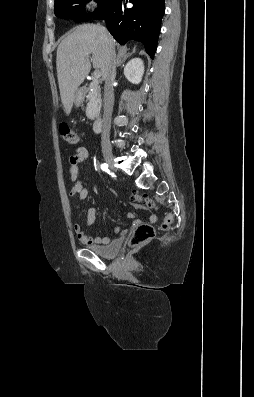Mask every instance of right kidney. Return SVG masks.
Segmentation results:
<instances>
[{
  "mask_svg": "<svg viewBox=\"0 0 254 397\" xmlns=\"http://www.w3.org/2000/svg\"><path fill=\"white\" fill-rule=\"evenodd\" d=\"M144 74V64L140 58L131 59L124 67V75L133 84H139Z\"/></svg>",
  "mask_w": 254,
  "mask_h": 397,
  "instance_id": "obj_1",
  "label": "right kidney"
}]
</instances>
